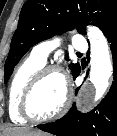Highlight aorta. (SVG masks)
<instances>
[{
    "mask_svg": "<svg viewBox=\"0 0 117 136\" xmlns=\"http://www.w3.org/2000/svg\"><path fill=\"white\" fill-rule=\"evenodd\" d=\"M87 34L91 45L90 81L96 89V99H100L109 87L113 65L103 33L97 27L88 26Z\"/></svg>",
    "mask_w": 117,
    "mask_h": 136,
    "instance_id": "aorta-1",
    "label": "aorta"
}]
</instances>
